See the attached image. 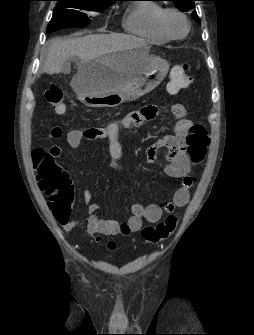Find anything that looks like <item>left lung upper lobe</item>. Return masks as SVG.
Wrapping results in <instances>:
<instances>
[{"instance_id":"obj_1","label":"left lung upper lobe","mask_w":254,"mask_h":335,"mask_svg":"<svg viewBox=\"0 0 254 335\" xmlns=\"http://www.w3.org/2000/svg\"><path fill=\"white\" fill-rule=\"evenodd\" d=\"M167 1L174 2L175 5L181 9V11H189L194 8L195 6L194 1L196 0H167ZM191 16L195 21L200 22V19L197 16L196 11H193Z\"/></svg>"}]
</instances>
